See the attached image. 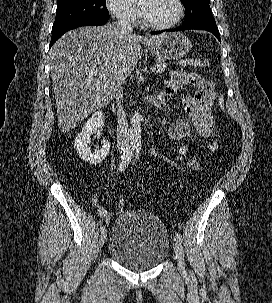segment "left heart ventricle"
I'll use <instances>...</instances> for the list:
<instances>
[{"label":"left heart ventricle","instance_id":"1","mask_svg":"<svg viewBox=\"0 0 272 303\" xmlns=\"http://www.w3.org/2000/svg\"><path fill=\"white\" fill-rule=\"evenodd\" d=\"M139 7L154 24H167L177 15L175 0H140Z\"/></svg>","mask_w":272,"mask_h":303}]
</instances>
